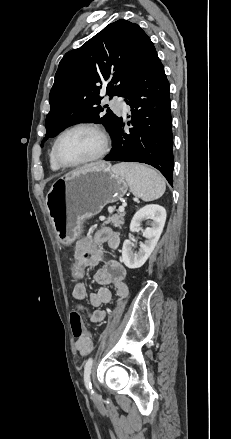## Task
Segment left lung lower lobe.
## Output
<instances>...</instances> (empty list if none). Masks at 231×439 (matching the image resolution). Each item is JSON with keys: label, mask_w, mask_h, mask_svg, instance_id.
I'll list each match as a JSON object with an SVG mask.
<instances>
[{"label": "left lung lower lobe", "mask_w": 231, "mask_h": 439, "mask_svg": "<svg viewBox=\"0 0 231 439\" xmlns=\"http://www.w3.org/2000/svg\"><path fill=\"white\" fill-rule=\"evenodd\" d=\"M131 108L128 125L119 117L106 161L141 162L158 169L173 185V136L169 82L153 46L124 95Z\"/></svg>", "instance_id": "left-lung-lower-lobe-1"}]
</instances>
